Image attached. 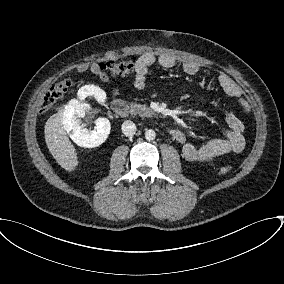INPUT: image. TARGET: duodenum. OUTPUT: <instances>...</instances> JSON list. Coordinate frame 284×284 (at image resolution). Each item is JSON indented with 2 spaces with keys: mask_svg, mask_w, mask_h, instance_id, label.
I'll return each instance as SVG.
<instances>
[{
  "mask_svg": "<svg viewBox=\"0 0 284 284\" xmlns=\"http://www.w3.org/2000/svg\"><path fill=\"white\" fill-rule=\"evenodd\" d=\"M111 107L114 113H116L117 115L121 117H128L130 115V108L128 104L121 99H114L112 101ZM175 134H176V131L174 129L170 130L171 136H174Z\"/></svg>",
  "mask_w": 284,
  "mask_h": 284,
  "instance_id": "1",
  "label": "duodenum"
}]
</instances>
